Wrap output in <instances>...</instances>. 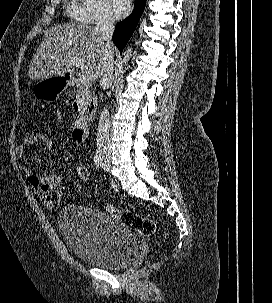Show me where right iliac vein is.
<instances>
[{
  "mask_svg": "<svg viewBox=\"0 0 272 303\" xmlns=\"http://www.w3.org/2000/svg\"><path fill=\"white\" fill-rule=\"evenodd\" d=\"M104 163H105V164H109V161H108V160H104Z\"/></svg>",
  "mask_w": 272,
  "mask_h": 303,
  "instance_id": "1",
  "label": "right iliac vein"
}]
</instances>
